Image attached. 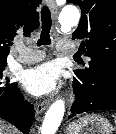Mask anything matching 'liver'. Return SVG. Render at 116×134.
Masks as SVG:
<instances>
[{"label": "liver", "mask_w": 116, "mask_h": 134, "mask_svg": "<svg viewBox=\"0 0 116 134\" xmlns=\"http://www.w3.org/2000/svg\"><path fill=\"white\" fill-rule=\"evenodd\" d=\"M0 134H17V131L12 126L0 120Z\"/></svg>", "instance_id": "liver-1"}]
</instances>
